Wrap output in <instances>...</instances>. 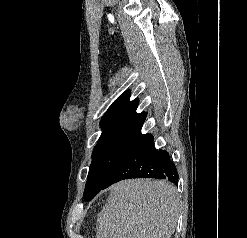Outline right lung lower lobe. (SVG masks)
Wrapping results in <instances>:
<instances>
[{
    "label": "right lung lower lobe",
    "mask_w": 247,
    "mask_h": 238,
    "mask_svg": "<svg viewBox=\"0 0 247 238\" xmlns=\"http://www.w3.org/2000/svg\"><path fill=\"white\" fill-rule=\"evenodd\" d=\"M146 177L178 183L177 170L169 154L155 149L151 134L140 133L111 171L103 189L123 179Z\"/></svg>",
    "instance_id": "obj_1"
}]
</instances>
